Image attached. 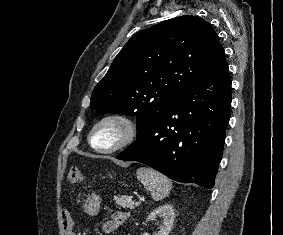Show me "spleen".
I'll return each instance as SVG.
<instances>
[{
	"instance_id": "spleen-1",
	"label": "spleen",
	"mask_w": 283,
	"mask_h": 235,
	"mask_svg": "<svg viewBox=\"0 0 283 235\" xmlns=\"http://www.w3.org/2000/svg\"><path fill=\"white\" fill-rule=\"evenodd\" d=\"M136 174L138 180L150 192L155 201L163 200L172 188L169 178L151 168H138Z\"/></svg>"
}]
</instances>
